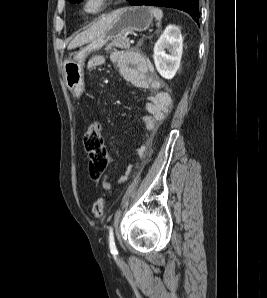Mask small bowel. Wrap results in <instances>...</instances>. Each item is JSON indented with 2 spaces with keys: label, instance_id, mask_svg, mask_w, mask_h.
Masks as SVG:
<instances>
[{
  "label": "small bowel",
  "instance_id": "c3829d8e",
  "mask_svg": "<svg viewBox=\"0 0 267 298\" xmlns=\"http://www.w3.org/2000/svg\"><path fill=\"white\" fill-rule=\"evenodd\" d=\"M110 59L117 65L126 81L138 88L153 92L146 104L148 115L143 118L146 138L149 139L169 113L172 105L171 97L164 89V83L155 75L151 61L140 52L136 50L115 51L111 54ZM104 61L103 56L92 57L88 62V70L97 69L103 65ZM140 151L144 153V146L140 148ZM125 179L126 176L123 175L119 177L118 182L122 183ZM101 184L105 191L111 189L107 176L103 177Z\"/></svg>",
  "mask_w": 267,
  "mask_h": 298
}]
</instances>
